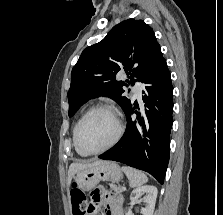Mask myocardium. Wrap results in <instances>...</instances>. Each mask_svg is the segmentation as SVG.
Masks as SVG:
<instances>
[{
    "instance_id": "obj_1",
    "label": "myocardium",
    "mask_w": 223,
    "mask_h": 215,
    "mask_svg": "<svg viewBox=\"0 0 223 215\" xmlns=\"http://www.w3.org/2000/svg\"><path fill=\"white\" fill-rule=\"evenodd\" d=\"M107 111L109 113H111L114 118L116 119L117 122V132L115 137L113 138V140L104 148L98 150V151H93V152H84L80 149L79 144H78V136H79V131L80 128L82 126V124L84 123V121L93 113L97 112V111ZM124 132V126L122 124L121 118L118 114V112L110 105L104 104V103H99L93 107H91L77 122L76 128H75V132H74V145L75 148L77 150V152L82 155V156H97L107 150H110L112 148H114L116 146V144L120 141L122 135Z\"/></svg>"
}]
</instances>
